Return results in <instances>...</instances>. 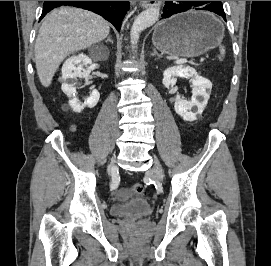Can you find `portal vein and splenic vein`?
<instances>
[{
	"instance_id": "18ae733b",
	"label": "portal vein and splenic vein",
	"mask_w": 271,
	"mask_h": 266,
	"mask_svg": "<svg viewBox=\"0 0 271 266\" xmlns=\"http://www.w3.org/2000/svg\"><path fill=\"white\" fill-rule=\"evenodd\" d=\"M187 62H188V60L186 58L177 59L175 61L176 64H184V63H187ZM192 64H194V63L192 62Z\"/></svg>"
}]
</instances>
